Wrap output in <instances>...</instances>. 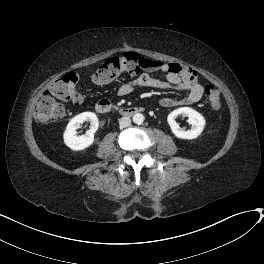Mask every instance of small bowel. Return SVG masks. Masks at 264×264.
Listing matches in <instances>:
<instances>
[{
	"instance_id": "small-bowel-1",
	"label": "small bowel",
	"mask_w": 264,
	"mask_h": 264,
	"mask_svg": "<svg viewBox=\"0 0 264 264\" xmlns=\"http://www.w3.org/2000/svg\"><path fill=\"white\" fill-rule=\"evenodd\" d=\"M142 64L147 72H161L164 80H159L148 74L140 75L120 86L119 95L131 94L137 88L173 89L186 93V96L181 99L164 97L160 102L162 106L191 105L201 100L204 87L198 82L195 72L191 68L180 64H167L154 59H144Z\"/></svg>"
}]
</instances>
